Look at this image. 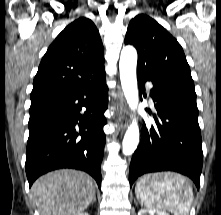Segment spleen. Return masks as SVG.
<instances>
[{"mask_svg": "<svg viewBox=\"0 0 221 215\" xmlns=\"http://www.w3.org/2000/svg\"><path fill=\"white\" fill-rule=\"evenodd\" d=\"M135 194L147 209L168 210L174 215H189L193 202L190 182L173 173H165L157 182H154L153 178L148 182L145 176L142 177L136 184Z\"/></svg>", "mask_w": 221, "mask_h": 215, "instance_id": "1", "label": "spleen"}]
</instances>
